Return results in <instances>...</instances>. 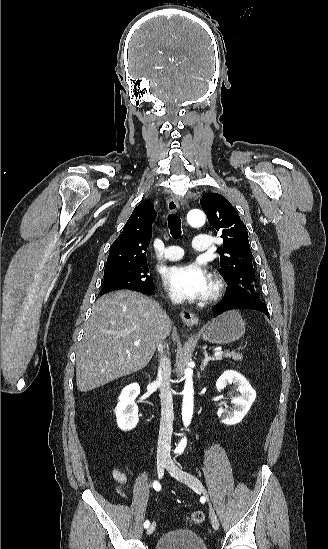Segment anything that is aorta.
Here are the masks:
<instances>
[{
    "mask_svg": "<svg viewBox=\"0 0 328 549\" xmlns=\"http://www.w3.org/2000/svg\"><path fill=\"white\" fill-rule=\"evenodd\" d=\"M187 222L192 227H201L205 223V215L199 209H193L187 214ZM193 371L191 368H187L184 372V389H183V403H182V420L185 427H188L191 423L193 415ZM187 439L184 437L181 439L177 446L178 451H183L186 447Z\"/></svg>",
    "mask_w": 328,
    "mask_h": 549,
    "instance_id": "762f6f07",
    "label": "aorta"
}]
</instances>
